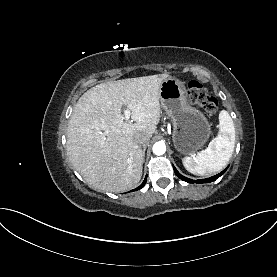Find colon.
<instances>
[{
    "mask_svg": "<svg viewBox=\"0 0 277 277\" xmlns=\"http://www.w3.org/2000/svg\"><path fill=\"white\" fill-rule=\"evenodd\" d=\"M188 95L192 103L199 106L208 114H213L217 110L218 102L216 98L209 95L207 89L197 80L188 83Z\"/></svg>",
    "mask_w": 277,
    "mask_h": 277,
    "instance_id": "colon-1",
    "label": "colon"
}]
</instances>
